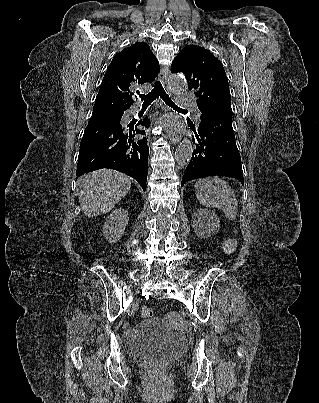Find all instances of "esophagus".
<instances>
[{
  "label": "esophagus",
  "mask_w": 319,
  "mask_h": 403,
  "mask_svg": "<svg viewBox=\"0 0 319 403\" xmlns=\"http://www.w3.org/2000/svg\"><path fill=\"white\" fill-rule=\"evenodd\" d=\"M168 74H169V68L168 67L162 68L160 73H159V79L163 83V85H165V86H167ZM167 135H168L169 140L173 144H177L180 141L179 134H177L173 130H167Z\"/></svg>",
  "instance_id": "1"
}]
</instances>
